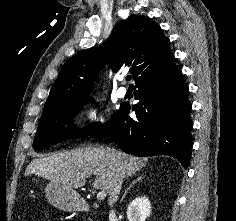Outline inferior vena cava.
Masks as SVG:
<instances>
[{
  "instance_id": "602c4592",
  "label": "inferior vena cava",
  "mask_w": 236,
  "mask_h": 221,
  "mask_svg": "<svg viewBox=\"0 0 236 221\" xmlns=\"http://www.w3.org/2000/svg\"><path fill=\"white\" fill-rule=\"evenodd\" d=\"M108 153L114 158V161L119 162L121 157L120 153L118 151H115L113 149H108ZM124 172L118 168V171L115 175L114 181H113V186L109 191V198H108V204L113 207L115 202L118 199V195L120 193L123 179H124Z\"/></svg>"
}]
</instances>
